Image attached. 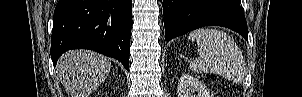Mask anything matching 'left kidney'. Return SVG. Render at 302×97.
Segmentation results:
<instances>
[{
    "instance_id": "obj_1",
    "label": "left kidney",
    "mask_w": 302,
    "mask_h": 97,
    "mask_svg": "<svg viewBox=\"0 0 302 97\" xmlns=\"http://www.w3.org/2000/svg\"><path fill=\"white\" fill-rule=\"evenodd\" d=\"M178 97H212L206 87L189 74H182L178 82Z\"/></svg>"
}]
</instances>
